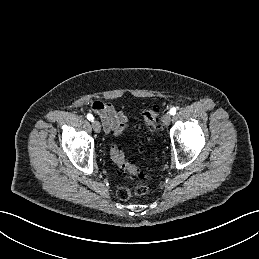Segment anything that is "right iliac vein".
I'll use <instances>...</instances> for the list:
<instances>
[{
	"label": "right iliac vein",
	"mask_w": 259,
	"mask_h": 259,
	"mask_svg": "<svg viewBox=\"0 0 259 259\" xmlns=\"http://www.w3.org/2000/svg\"><path fill=\"white\" fill-rule=\"evenodd\" d=\"M92 127L96 133H99L101 131V125L96 120L92 122Z\"/></svg>",
	"instance_id": "obj_1"
}]
</instances>
